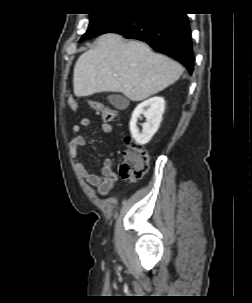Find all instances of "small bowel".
<instances>
[{"label": "small bowel", "mask_w": 252, "mask_h": 303, "mask_svg": "<svg viewBox=\"0 0 252 303\" xmlns=\"http://www.w3.org/2000/svg\"><path fill=\"white\" fill-rule=\"evenodd\" d=\"M90 122L91 120L89 118H82L73 126L72 138L69 144V153L75 162V168L80 176L83 177L89 185L95 187L101 196H105L113 189L116 181L118 180V176L113 170L112 159L106 158L103 160L101 174L88 170L79 159L80 149L85 144V140L80 133L83 128L90 124ZM99 130L100 132L110 133L113 128L109 123L104 122L100 124Z\"/></svg>", "instance_id": "obj_1"}]
</instances>
